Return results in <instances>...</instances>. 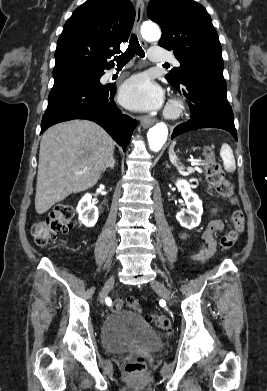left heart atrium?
<instances>
[{
	"label": "left heart atrium",
	"instance_id": "39dd6f15",
	"mask_svg": "<svg viewBox=\"0 0 267 391\" xmlns=\"http://www.w3.org/2000/svg\"><path fill=\"white\" fill-rule=\"evenodd\" d=\"M122 104L135 110H154L163 99L161 89L145 74L128 79L120 89Z\"/></svg>",
	"mask_w": 267,
	"mask_h": 391
}]
</instances>
